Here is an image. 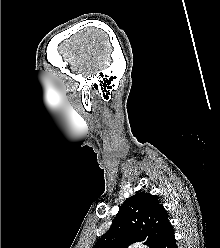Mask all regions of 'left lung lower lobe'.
<instances>
[{
    "instance_id": "0a47b994",
    "label": "left lung lower lobe",
    "mask_w": 220,
    "mask_h": 248,
    "mask_svg": "<svg viewBox=\"0 0 220 248\" xmlns=\"http://www.w3.org/2000/svg\"><path fill=\"white\" fill-rule=\"evenodd\" d=\"M156 248H177L172 225L167 228Z\"/></svg>"
}]
</instances>
